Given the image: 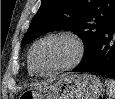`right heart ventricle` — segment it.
<instances>
[{
	"instance_id": "1",
	"label": "right heart ventricle",
	"mask_w": 115,
	"mask_h": 99,
	"mask_svg": "<svg viewBox=\"0 0 115 99\" xmlns=\"http://www.w3.org/2000/svg\"><path fill=\"white\" fill-rule=\"evenodd\" d=\"M28 73L29 75H34L35 73L31 70L30 66H29V63H28Z\"/></svg>"
}]
</instances>
